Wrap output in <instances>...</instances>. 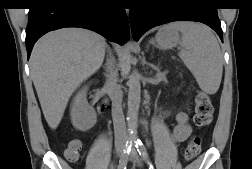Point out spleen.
I'll use <instances>...</instances> for the list:
<instances>
[{
  "mask_svg": "<svg viewBox=\"0 0 252 169\" xmlns=\"http://www.w3.org/2000/svg\"><path fill=\"white\" fill-rule=\"evenodd\" d=\"M182 33L180 58L207 94H215L220 86L223 56L210 28L193 22L171 24Z\"/></svg>",
  "mask_w": 252,
  "mask_h": 169,
  "instance_id": "3e777b00",
  "label": "spleen"
}]
</instances>
